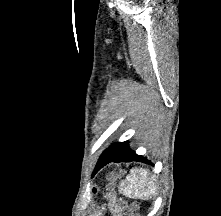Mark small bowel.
Returning <instances> with one entry per match:
<instances>
[{"label":"small bowel","mask_w":221,"mask_h":216,"mask_svg":"<svg viewBox=\"0 0 221 216\" xmlns=\"http://www.w3.org/2000/svg\"><path fill=\"white\" fill-rule=\"evenodd\" d=\"M110 206H111V208H112V211H113L115 214H118V212H119L118 205H117L115 202H111V203H110Z\"/></svg>","instance_id":"c3829d8e"}]
</instances>
